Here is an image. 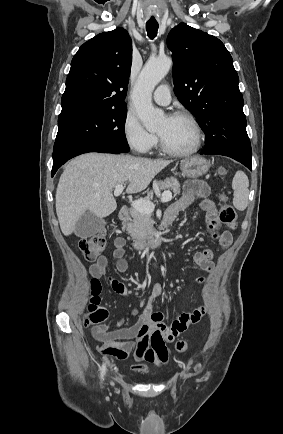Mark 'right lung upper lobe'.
Masks as SVG:
<instances>
[{
    "instance_id": "cb5924a9",
    "label": "right lung upper lobe",
    "mask_w": 283,
    "mask_h": 434,
    "mask_svg": "<svg viewBox=\"0 0 283 434\" xmlns=\"http://www.w3.org/2000/svg\"><path fill=\"white\" fill-rule=\"evenodd\" d=\"M132 45L123 28L98 34L71 62L59 116L126 107Z\"/></svg>"
}]
</instances>
